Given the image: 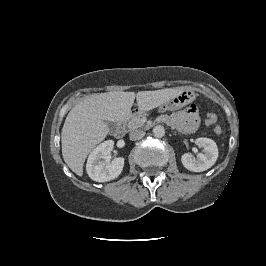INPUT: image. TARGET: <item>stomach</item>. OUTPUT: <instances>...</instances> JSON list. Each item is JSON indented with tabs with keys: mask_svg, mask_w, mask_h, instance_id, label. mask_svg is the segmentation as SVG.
Wrapping results in <instances>:
<instances>
[{
	"mask_svg": "<svg viewBox=\"0 0 266 266\" xmlns=\"http://www.w3.org/2000/svg\"><path fill=\"white\" fill-rule=\"evenodd\" d=\"M194 99V93L190 89H182L177 95L173 96L159 106L161 112L174 110L189 104Z\"/></svg>",
	"mask_w": 266,
	"mask_h": 266,
	"instance_id": "stomach-1",
	"label": "stomach"
}]
</instances>
